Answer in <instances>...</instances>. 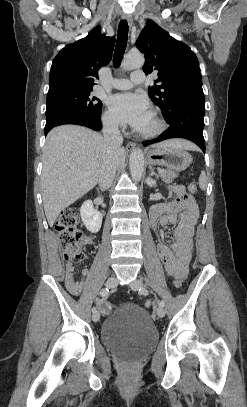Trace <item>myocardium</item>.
I'll return each instance as SVG.
<instances>
[{"label":"myocardium","mask_w":247,"mask_h":407,"mask_svg":"<svg viewBox=\"0 0 247 407\" xmlns=\"http://www.w3.org/2000/svg\"><path fill=\"white\" fill-rule=\"evenodd\" d=\"M150 115L154 120L155 127L150 131H141V130L136 131L139 136L146 138V139L155 138V137L161 135L166 129L165 121L161 118V116L156 111H151Z\"/></svg>","instance_id":"obj_1"}]
</instances>
